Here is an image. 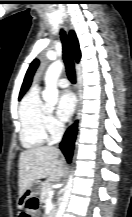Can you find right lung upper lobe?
Wrapping results in <instances>:
<instances>
[{
	"mask_svg": "<svg viewBox=\"0 0 132 217\" xmlns=\"http://www.w3.org/2000/svg\"><path fill=\"white\" fill-rule=\"evenodd\" d=\"M69 37H70V42H71V46H72V49L74 52L75 59L78 62L80 57H81V52H80L78 40H77V37H76L74 31H70ZM38 65H39V61L37 59L33 60V62L30 64V67H29V69L25 75V78H24V81H23V84H22V87L20 90L19 99L22 98L24 93L30 87L32 77H33L34 72L37 69Z\"/></svg>",
	"mask_w": 132,
	"mask_h": 217,
	"instance_id": "obj_1",
	"label": "right lung upper lobe"
}]
</instances>
